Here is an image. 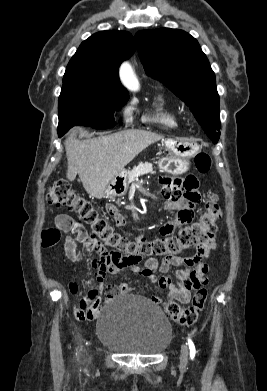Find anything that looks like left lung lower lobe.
<instances>
[{
  "instance_id": "obj_1",
  "label": "left lung lower lobe",
  "mask_w": 267,
  "mask_h": 391,
  "mask_svg": "<svg viewBox=\"0 0 267 391\" xmlns=\"http://www.w3.org/2000/svg\"><path fill=\"white\" fill-rule=\"evenodd\" d=\"M206 133H207V135H208L210 138H212L211 132L206 131Z\"/></svg>"
}]
</instances>
